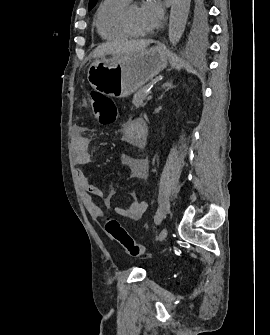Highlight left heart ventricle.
I'll return each instance as SVG.
<instances>
[{"label": "left heart ventricle", "instance_id": "obj_1", "mask_svg": "<svg viewBox=\"0 0 270 335\" xmlns=\"http://www.w3.org/2000/svg\"><path fill=\"white\" fill-rule=\"evenodd\" d=\"M127 19L131 28L136 33L143 32L141 23V8L137 4H131L127 9Z\"/></svg>", "mask_w": 270, "mask_h": 335}]
</instances>
